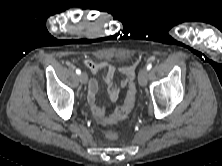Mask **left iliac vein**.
Masks as SVG:
<instances>
[{
	"mask_svg": "<svg viewBox=\"0 0 222 166\" xmlns=\"http://www.w3.org/2000/svg\"><path fill=\"white\" fill-rule=\"evenodd\" d=\"M148 79V70L146 68H142L138 74V82L141 86H145L147 84Z\"/></svg>",
	"mask_w": 222,
	"mask_h": 166,
	"instance_id": "obj_1",
	"label": "left iliac vein"
}]
</instances>
